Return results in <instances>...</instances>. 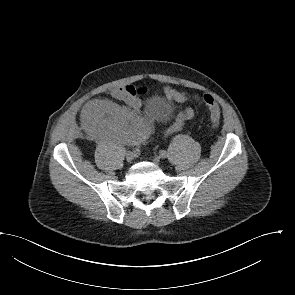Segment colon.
<instances>
[{"label": "colon", "mask_w": 295, "mask_h": 295, "mask_svg": "<svg viewBox=\"0 0 295 295\" xmlns=\"http://www.w3.org/2000/svg\"><path fill=\"white\" fill-rule=\"evenodd\" d=\"M203 101L205 105L208 107L212 123H219L221 118V111L215 99L211 95L205 94L203 96Z\"/></svg>", "instance_id": "obj_1"}]
</instances>
